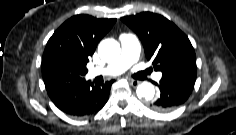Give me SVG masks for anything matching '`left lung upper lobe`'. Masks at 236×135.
<instances>
[{"mask_svg":"<svg viewBox=\"0 0 236 135\" xmlns=\"http://www.w3.org/2000/svg\"><path fill=\"white\" fill-rule=\"evenodd\" d=\"M140 38L147 60L154 70L162 74L173 72H196V56L188 37L165 17L142 12L122 17Z\"/></svg>","mask_w":236,"mask_h":135,"instance_id":"obj_1","label":"left lung upper lobe"}]
</instances>
